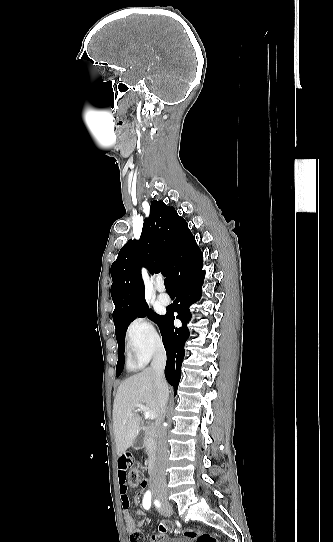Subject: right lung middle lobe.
Wrapping results in <instances>:
<instances>
[{"instance_id":"dd1d6c3e","label":"right lung middle lobe","mask_w":333,"mask_h":542,"mask_svg":"<svg viewBox=\"0 0 333 542\" xmlns=\"http://www.w3.org/2000/svg\"><path fill=\"white\" fill-rule=\"evenodd\" d=\"M148 316L151 320L156 322L158 325L160 324L163 316L158 315L154 313L151 309L148 308V306H145L137 311H134L130 314L124 315L118 320L114 321L115 327H116V339L118 342V362L116 366V376L118 377L121 372L123 371L124 367V355L123 352L125 350V334L126 330L129 326V324L135 320L137 317H145Z\"/></svg>"}]
</instances>
